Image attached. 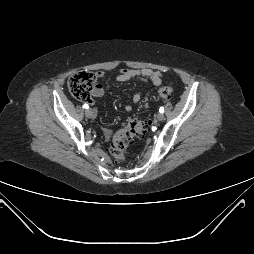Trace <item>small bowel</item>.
I'll list each match as a JSON object with an SVG mask.
<instances>
[{
  "label": "small bowel",
  "instance_id": "small-bowel-1",
  "mask_svg": "<svg viewBox=\"0 0 254 254\" xmlns=\"http://www.w3.org/2000/svg\"><path fill=\"white\" fill-rule=\"evenodd\" d=\"M104 76L103 71L96 72V77L101 78ZM116 82H126L130 80H139L144 83L151 82L155 86H159L163 82V75L160 71L149 69V68H141V69H131V68H123L119 71L118 75L115 78ZM104 95V87L102 84H97L96 87L92 91L93 97H101ZM141 100V94L139 92L135 93L132 97L133 103H138ZM88 103L92 104V100L89 99ZM126 111H131L132 106L127 105L125 107ZM95 113L96 110L93 109ZM103 134L106 138L110 137V132L107 129L103 130Z\"/></svg>",
  "mask_w": 254,
  "mask_h": 254
}]
</instances>
